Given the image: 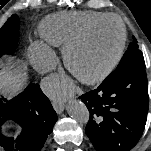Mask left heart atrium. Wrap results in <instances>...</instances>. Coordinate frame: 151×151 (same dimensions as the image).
I'll list each match as a JSON object with an SVG mask.
<instances>
[{"instance_id": "1", "label": "left heart atrium", "mask_w": 151, "mask_h": 151, "mask_svg": "<svg viewBox=\"0 0 151 151\" xmlns=\"http://www.w3.org/2000/svg\"><path fill=\"white\" fill-rule=\"evenodd\" d=\"M44 88L52 97L58 100L69 96L75 90V86L70 79L58 75L48 78L44 83Z\"/></svg>"}]
</instances>
